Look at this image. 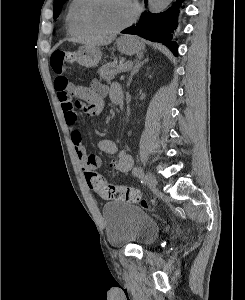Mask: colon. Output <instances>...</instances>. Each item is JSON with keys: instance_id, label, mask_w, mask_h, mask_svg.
<instances>
[{"instance_id": "obj_1", "label": "colon", "mask_w": 245, "mask_h": 300, "mask_svg": "<svg viewBox=\"0 0 245 300\" xmlns=\"http://www.w3.org/2000/svg\"><path fill=\"white\" fill-rule=\"evenodd\" d=\"M73 60L71 53L55 51L51 55V67L58 75H63L67 70V64ZM76 106L81 107L77 102ZM89 187L98 193L102 198L127 203H141L146 208H151L148 200L144 199L140 190L134 187L109 184L105 178L98 173H89L87 175Z\"/></svg>"}]
</instances>
